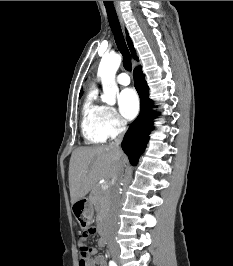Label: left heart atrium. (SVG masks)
Returning <instances> with one entry per match:
<instances>
[{"mask_svg": "<svg viewBox=\"0 0 233 266\" xmlns=\"http://www.w3.org/2000/svg\"><path fill=\"white\" fill-rule=\"evenodd\" d=\"M119 111L126 120L133 119L139 111V99L131 88L122 90L118 96Z\"/></svg>", "mask_w": 233, "mask_h": 266, "instance_id": "obj_1", "label": "left heart atrium"}]
</instances>
